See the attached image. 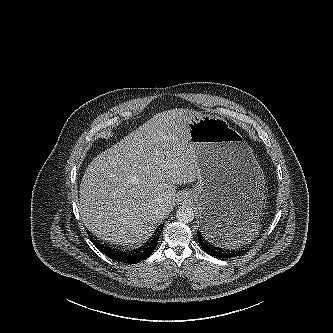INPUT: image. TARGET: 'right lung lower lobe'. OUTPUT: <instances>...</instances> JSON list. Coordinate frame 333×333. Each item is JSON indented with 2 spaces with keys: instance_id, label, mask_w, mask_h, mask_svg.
<instances>
[{
  "instance_id": "right-lung-lower-lobe-1",
  "label": "right lung lower lobe",
  "mask_w": 333,
  "mask_h": 333,
  "mask_svg": "<svg viewBox=\"0 0 333 333\" xmlns=\"http://www.w3.org/2000/svg\"><path fill=\"white\" fill-rule=\"evenodd\" d=\"M159 234L156 235V237H154V239L151 241V243H149V245H147L142 251L133 253V254H121L118 253L112 249L109 248H104L103 246L99 245L98 243H96V241H92L94 242V244L105 254L107 255L109 258L116 260L118 262H123V263H136L139 262L141 260H144L146 258H148L149 255H151L157 245L158 239H159Z\"/></svg>"
}]
</instances>
